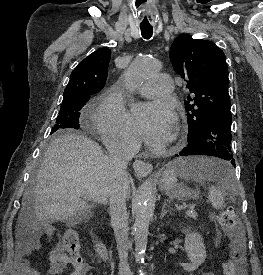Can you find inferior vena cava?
Segmentation results:
<instances>
[{
	"label": "inferior vena cava",
	"mask_w": 263,
	"mask_h": 275,
	"mask_svg": "<svg viewBox=\"0 0 263 275\" xmlns=\"http://www.w3.org/2000/svg\"><path fill=\"white\" fill-rule=\"evenodd\" d=\"M107 150L112 176L109 193L111 226L114 229L120 259L118 275H132L128 264L130 242L128 240L126 197L129 190L127 165L134 157L135 151L131 142L125 139L113 142Z\"/></svg>",
	"instance_id": "1"
}]
</instances>
